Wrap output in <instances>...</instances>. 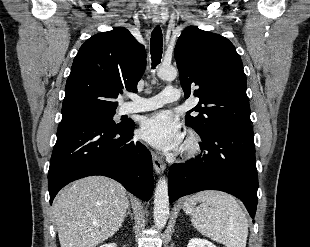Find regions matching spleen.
Wrapping results in <instances>:
<instances>
[{"mask_svg": "<svg viewBox=\"0 0 310 247\" xmlns=\"http://www.w3.org/2000/svg\"><path fill=\"white\" fill-rule=\"evenodd\" d=\"M183 210L202 235L226 247H246L248 220L233 196L221 191L198 192L186 199Z\"/></svg>", "mask_w": 310, "mask_h": 247, "instance_id": "3e777b00", "label": "spleen"}]
</instances>
